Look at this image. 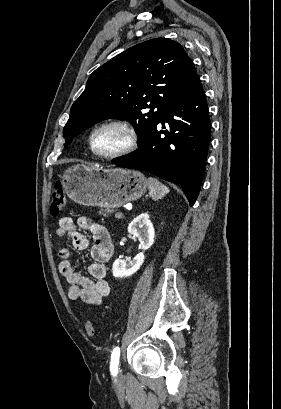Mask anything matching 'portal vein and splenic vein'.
<instances>
[{
    "instance_id": "obj_1",
    "label": "portal vein and splenic vein",
    "mask_w": 281,
    "mask_h": 409,
    "mask_svg": "<svg viewBox=\"0 0 281 409\" xmlns=\"http://www.w3.org/2000/svg\"><path fill=\"white\" fill-rule=\"evenodd\" d=\"M114 216H116L117 219H122V217L124 216V213L123 212H117V213H114Z\"/></svg>"
}]
</instances>
